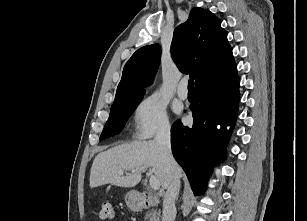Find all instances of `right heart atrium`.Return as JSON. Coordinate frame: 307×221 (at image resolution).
<instances>
[{
  "label": "right heart atrium",
  "mask_w": 307,
  "mask_h": 221,
  "mask_svg": "<svg viewBox=\"0 0 307 221\" xmlns=\"http://www.w3.org/2000/svg\"><path fill=\"white\" fill-rule=\"evenodd\" d=\"M135 134L139 139H149L170 131L166 105L157 94L142 99L134 111Z\"/></svg>",
  "instance_id": "right-heart-atrium-1"
}]
</instances>
